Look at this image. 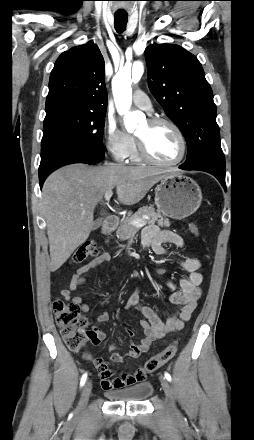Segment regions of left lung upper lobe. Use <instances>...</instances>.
Listing matches in <instances>:
<instances>
[{"mask_svg":"<svg viewBox=\"0 0 254 440\" xmlns=\"http://www.w3.org/2000/svg\"><path fill=\"white\" fill-rule=\"evenodd\" d=\"M145 59L151 93L186 139L188 154L183 165L210 163L225 168L216 105L198 59L172 44L150 45Z\"/></svg>","mask_w":254,"mask_h":440,"instance_id":"left-lung-upper-lobe-1","label":"left lung upper lobe"}]
</instances>
